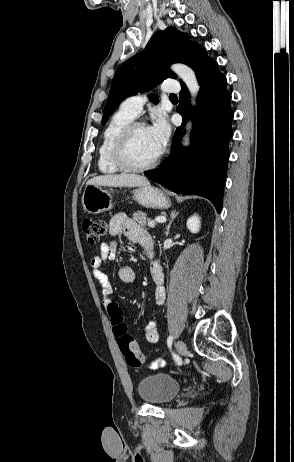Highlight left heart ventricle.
I'll list each match as a JSON object with an SVG mask.
<instances>
[{"label":"left heart ventricle","instance_id":"left-heart-ventricle-1","mask_svg":"<svg viewBox=\"0 0 294 462\" xmlns=\"http://www.w3.org/2000/svg\"><path fill=\"white\" fill-rule=\"evenodd\" d=\"M159 153L148 127H139L130 141V161L136 165H144L153 160Z\"/></svg>","mask_w":294,"mask_h":462}]
</instances>
